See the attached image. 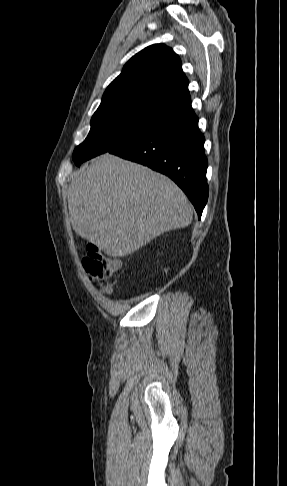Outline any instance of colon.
Returning a JSON list of instances; mask_svg holds the SVG:
<instances>
[{
  "instance_id": "5ec220e1",
  "label": "colon",
  "mask_w": 287,
  "mask_h": 486,
  "mask_svg": "<svg viewBox=\"0 0 287 486\" xmlns=\"http://www.w3.org/2000/svg\"><path fill=\"white\" fill-rule=\"evenodd\" d=\"M85 271L93 281L105 282L110 279L120 267V260L104 255L98 247L89 244L87 253L82 260ZM102 290L106 293L111 291L109 285H104Z\"/></svg>"
}]
</instances>
